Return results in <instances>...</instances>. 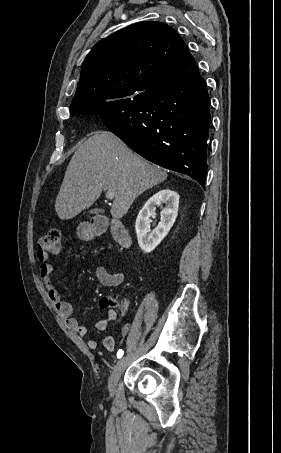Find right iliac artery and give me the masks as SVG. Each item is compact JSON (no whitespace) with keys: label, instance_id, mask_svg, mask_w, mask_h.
Listing matches in <instances>:
<instances>
[{"label":"right iliac artery","instance_id":"right-iliac-artery-1","mask_svg":"<svg viewBox=\"0 0 281 453\" xmlns=\"http://www.w3.org/2000/svg\"><path fill=\"white\" fill-rule=\"evenodd\" d=\"M124 354V351L122 349H119L117 352V358H121Z\"/></svg>","mask_w":281,"mask_h":453}]
</instances>
